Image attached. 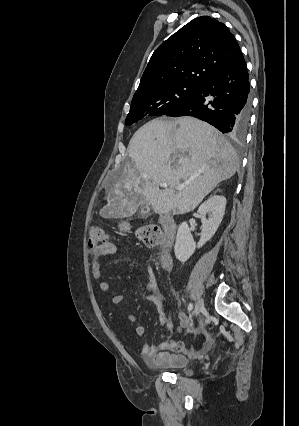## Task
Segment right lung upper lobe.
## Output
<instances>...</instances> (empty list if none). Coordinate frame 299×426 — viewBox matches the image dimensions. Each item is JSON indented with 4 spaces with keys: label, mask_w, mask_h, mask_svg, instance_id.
I'll return each mask as SVG.
<instances>
[{
    "label": "right lung upper lobe",
    "mask_w": 299,
    "mask_h": 426,
    "mask_svg": "<svg viewBox=\"0 0 299 426\" xmlns=\"http://www.w3.org/2000/svg\"><path fill=\"white\" fill-rule=\"evenodd\" d=\"M241 54L228 28L209 16L193 19L153 53L133 96L175 84L201 85Z\"/></svg>",
    "instance_id": "right-lung-upper-lobe-1"
}]
</instances>
